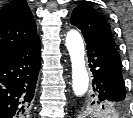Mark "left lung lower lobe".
I'll list each match as a JSON object with an SVG mask.
<instances>
[{
  "instance_id": "left-lung-lower-lobe-1",
  "label": "left lung lower lobe",
  "mask_w": 133,
  "mask_h": 118,
  "mask_svg": "<svg viewBox=\"0 0 133 118\" xmlns=\"http://www.w3.org/2000/svg\"><path fill=\"white\" fill-rule=\"evenodd\" d=\"M84 38L88 50L89 67L94 77L93 97L98 102L126 103L121 60L117 50L86 36Z\"/></svg>"
}]
</instances>
